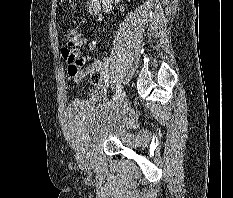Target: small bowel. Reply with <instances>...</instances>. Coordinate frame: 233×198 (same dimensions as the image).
Wrapping results in <instances>:
<instances>
[{
	"mask_svg": "<svg viewBox=\"0 0 233 198\" xmlns=\"http://www.w3.org/2000/svg\"><path fill=\"white\" fill-rule=\"evenodd\" d=\"M86 44L87 40L82 38L78 46L85 48ZM62 56L68 63V77L77 87L81 85L83 79L89 74H93L95 72H99V74L102 75L104 74V64L100 60H95L92 63L84 66V58L77 48L65 46L62 48ZM106 93L107 83L103 78L100 81L98 87L90 93L88 98H76L72 101L71 106L76 110H90L96 103L102 101L105 98Z\"/></svg>",
	"mask_w": 233,
	"mask_h": 198,
	"instance_id": "c3829d8e",
	"label": "small bowel"
}]
</instances>
